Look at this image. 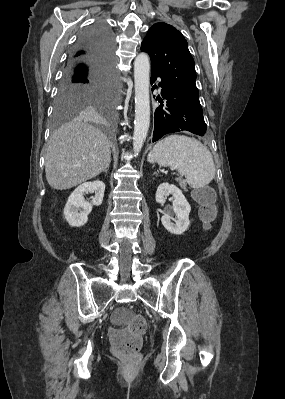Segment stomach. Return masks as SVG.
Segmentation results:
<instances>
[{
    "label": "stomach",
    "instance_id": "0dacf381",
    "mask_svg": "<svg viewBox=\"0 0 285 399\" xmlns=\"http://www.w3.org/2000/svg\"><path fill=\"white\" fill-rule=\"evenodd\" d=\"M148 161H149V162H151V163H153V162H155V161H156V159H155V156H154V153H153V152H151V153L148 155Z\"/></svg>",
    "mask_w": 285,
    "mask_h": 399
}]
</instances>
